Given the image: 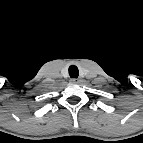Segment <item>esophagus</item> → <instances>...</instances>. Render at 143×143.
<instances>
[{
  "mask_svg": "<svg viewBox=\"0 0 143 143\" xmlns=\"http://www.w3.org/2000/svg\"><path fill=\"white\" fill-rule=\"evenodd\" d=\"M71 81L73 83H79L81 81V79L80 78H72Z\"/></svg>",
  "mask_w": 143,
  "mask_h": 143,
  "instance_id": "1",
  "label": "esophagus"
}]
</instances>
